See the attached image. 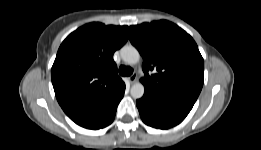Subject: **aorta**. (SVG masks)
I'll use <instances>...</instances> for the list:
<instances>
[{"label":"aorta","mask_w":261,"mask_h":150,"mask_svg":"<svg viewBox=\"0 0 261 150\" xmlns=\"http://www.w3.org/2000/svg\"><path fill=\"white\" fill-rule=\"evenodd\" d=\"M120 53L122 60L129 65L136 64L140 60L138 50L132 45L122 47ZM130 94L135 99L141 98L144 95V85L140 81L135 82L131 87Z\"/></svg>","instance_id":"obj_1"}]
</instances>
